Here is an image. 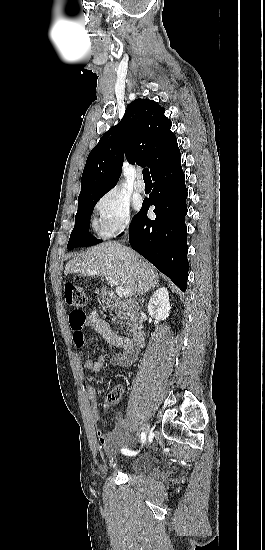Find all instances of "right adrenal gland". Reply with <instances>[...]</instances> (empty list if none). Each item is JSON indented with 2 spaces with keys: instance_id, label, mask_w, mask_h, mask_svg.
<instances>
[{
  "instance_id": "obj_1",
  "label": "right adrenal gland",
  "mask_w": 265,
  "mask_h": 550,
  "mask_svg": "<svg viewBox=\"0 0 265 550\" xmlns=\"http://www.w3.org/2000/svg\"><path fill=\"white\" fill-rule=\"evenodd\" d=\"M155 287H159V284H158V283H156ZM153 288H154V287H153ZM141 298H142V296H141ZM142 299H143V298H142Z\"/></svg>"
}]
</instances>
